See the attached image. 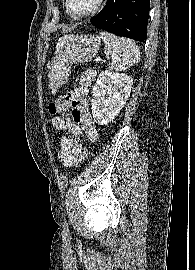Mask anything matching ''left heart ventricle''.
I'll use <instances>...</instances> for the list:
<instances>
[{"mask_svg":"<svg viewBox=\"0 0 195 270\" xmlns=\"http://www.w3.org/2000/svg\"><path fill=\"white\" fill-rule=\"evenodd\" d=\"M98 0H70V7L76 14H85L92 10Z\"/></svg>","mask_w":195,"mask_h":270,"instance_id":"left-heart-ventricle-1","label":"left heart ventricle"}]
</instances>
